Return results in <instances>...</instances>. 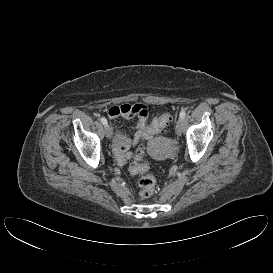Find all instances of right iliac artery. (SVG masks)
<instances>
[{
    "label": "right iliac artery",
    "instance_id": "obj_1",
    "mask_svg": "<svg viewBox=\"0 0 273 273\" xmlns=\"http://www.w3.org/2000/svg\"><path fill=\"white\" fill-rule=\"evenodd\" d=\"M101 123L103 124V125H107V120H106V118L105 117H101Z\"/></svg>",
    "mask_w": 273,
    "mask_h": 273
}]
</instances>
